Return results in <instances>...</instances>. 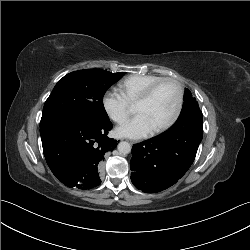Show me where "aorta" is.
<instances>
[{"instance_id": "aorta-1", "label": "aorta", "mask_w": 250, "mask_h": 250, "mask_svg": "<svg viewBox=\"0 0 250 250\" xmlns=\"http://www.w3.org/2000/svg\"><path fill=\"white\" fill-rule=\"evenodd\" d=\"M118 151L121 154H128L131 152V145L128 142L122 141L118 144Z\"/></svg>"}]
</instances>
